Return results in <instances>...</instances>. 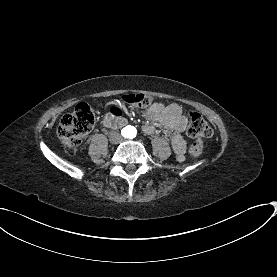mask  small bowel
<instances>
[{"label": "small bowel", "instance_id": "obj_1", "mask_svg": "<svg viewBox=\"0 0 277 277\" xmlns=\"http://www.w3.org/2000/svg\"><path fill=\"white\" fill-rule=\"evenodd\" d=\"M145 117L152 123H158L164 129L177 159L182 161L186 149L187 118L183 115L180 106L175 103L163 104L157 102L145 111ZM152 123L143 126L145 134L154 135L157 133V128Z\"/></svg>", "mask_w": 277, "mask_h": 277}]
</instances>
